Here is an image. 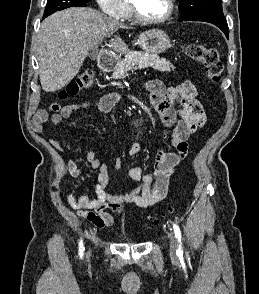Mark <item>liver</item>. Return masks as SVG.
I'll return each instance as SVG.
<instances>
[{"instance_id":"liver-1","label":"liver","mask_w":259,"mask_h":294,"mask_svg":"<svg viewBox=\"0 0 259 294\" xmlns=\"http://www.w3.org/2000/svg\"><path fill=\"white\" fill-rule=\"evenodd\" d=\"M124 25L91 8H69L46 18L36 38L39 77L45 92L65 87L79 72L91 49ZM113 51H129L120 37L111 39Z\"/></svg>"}]
</instances>
